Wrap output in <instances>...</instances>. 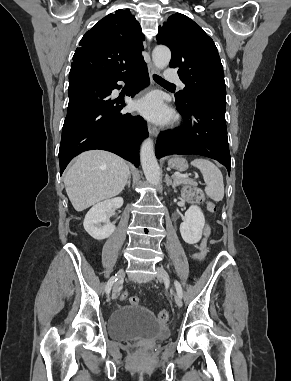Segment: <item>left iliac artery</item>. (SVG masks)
Segmentation results:
<instances>
[{
  "label": "left iliac artery",
  "mask_w": 291,
  "mask_h": 381,
  "mask_svg": "<svg viewBox=\"0 0 291 381\" xmlns=\"http://www.w3.org/2000/svg\"><path fill=\"white\" fill-rule=\"evenodd\" d=\"M174 285H175V288H176V291H177L178 295H179L180 297H182V295H183V291H182L181 284H180L177 280H175V281H174Z\"/></svg>",
  "instance_id": "left-iliac-artery-1"
}]
</instances>
